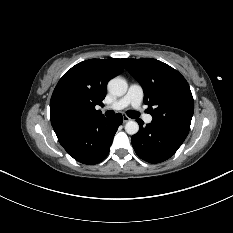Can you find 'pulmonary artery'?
<instances>
[{"mask_svg": "<svg viewBox=\"0 0 233 233\" xmlns=\"http://www.w3.org/2000/svg\"><path fill=\"white\" fill-rule=\"evenodd\" d=\"M143 100V89L139 84H131L125 96L114 103L104 107L105 110H121L127 106H132L142 113L141 104ZM143 119L146 123H151L153 118L149 114H144Z\"/></svg>", "mask_w": 233, "mask_h": 233, "instance_id": "pulmonary-artery-1", "label": "pulmonary artery"}]
</instances>
